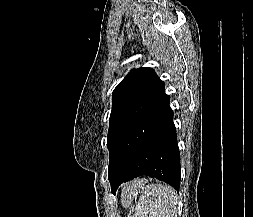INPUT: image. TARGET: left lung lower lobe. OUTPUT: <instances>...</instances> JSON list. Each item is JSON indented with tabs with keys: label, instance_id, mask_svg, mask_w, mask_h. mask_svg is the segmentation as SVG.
<instances>
[{
	"label": "left lung lower lobe",
	"instance_id": "obj_1",
	"mask_svg": "<svg viewBox=\"0 0 253 217\" xmlns=\"http://www.w3.org/2000/svg\"><path fill=\"white\" fill-rule=\"evenodd\" d=\"M169 102L165 95L123 137L109 175L113 194L120 184L141 175L155 177L179 191L180 152Z\"/></svg>",
	"mask_w": 253,
	"mask_h": 217
}]
</instances>
